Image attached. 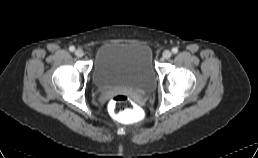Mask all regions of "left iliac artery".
<instances>
[{"instance_id":"obj_1","label":"left iliac artery","mask_w":258,"mask_h":158,"mask_svg":"<svg viewBox=\"0 0 258 158\" xmlns=\"http://www.w3.org/2000/svg\"><path fill=\"white\" fill-rule=\"evenodd\" d=\"M172 52H173L174 54H176V53L178 52V48H177V47L172 48Z\"/></svg>"}]
</instances>
